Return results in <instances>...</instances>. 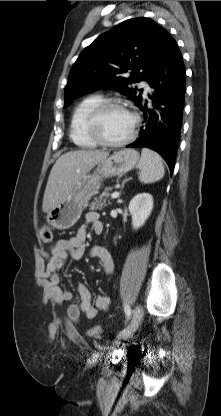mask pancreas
<instances>
[{
	"label": "pancreas",
	"mask_w": 221,
	"mask_h": 416,
	"mask_svg": "<svg viewBox=\"0 0 221 416\" xmlns=\"http://www.w3.org/2000/svg\"><path fill=\"white\" fill-rule=\"evenodd\" d=\"M110 196L109 192L105 190L102 194L98 197L94 198V200L90 203L89 207L91 210H101L104 206L110 205L111 203L108 201L107 198Z\"/></svg>",
	"instance_id": "pancreas-1"
}]
</instances>
